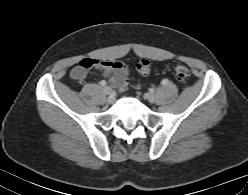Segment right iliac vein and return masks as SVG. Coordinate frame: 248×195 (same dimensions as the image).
<instances>
[{
	"label": "right iliac vein",
	"mask_w": 248,
	"mask_h": 195,
	"mask_svg": "<svg viewBox=\"0 0 248 195\" xmlns=\"http://www.w3.org/2000/svg\"><path fill=\"white\" fill-rule=\"evenodd\" d=\"M103 91L106 95H111L112 89L109 86H104Z\"/></svg>",
	"instance_id": "obj_1"
}]
</instances>
